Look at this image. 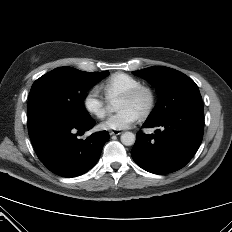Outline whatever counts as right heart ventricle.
<instances>
[{"instance_id":"1","label":"right heart ventricle","mask_w":232,"mask_h":232,"mask_svg":"<svg viewBox=\"0 0 232 232\" xmlns=\"http://www.w3.org/2000/svg\"><path fill=\"white\" fill-rule=\"evenodd\" d=\"M141 84L142 81L137 77L118 72L104 80L101 84V89L108 100H113Z\"/></svg>"}]
</instances>
